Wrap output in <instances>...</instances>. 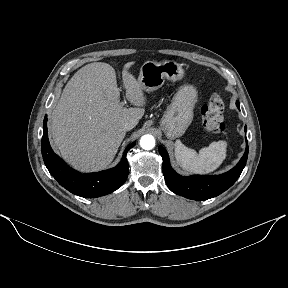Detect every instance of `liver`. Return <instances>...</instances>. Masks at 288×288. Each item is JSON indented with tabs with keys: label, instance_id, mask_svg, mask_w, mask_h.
<instances>
[{
	"label": "liver",
	"instance_id": "6515ba94",
	"mask_svg": "<svg viewBox=\"0 0 288 288\" xmlns=\"http://www.w3.org/2000/svg\"><path fill=\"white\" fill-rule=\"evenodd\" d=\"M133 64H124L122 79L126 98L134 108L120 104L116 72L107 63L85 65L63 89L51 115L49 134L55 148L74 168L87 172L106 168L126 135L124 123L143 117L146 97L128 71Z\"/></svg>",
	"mask_w": 288,
	"mask_h": 288
}]
</instances>
